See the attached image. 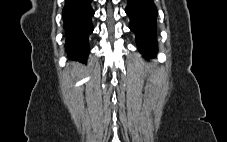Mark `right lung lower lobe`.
Returning <instances> with one entry per match:
<instances>
[{"instance_id": "98d812e1", "label": "right lung lower lobe", "mask_w": 227, "mask_h": 142, "mask_svg": "<svg viewBox=\"0 0 227 142\" xmlns=\"http://www.w3.org/2000/svg\"><path fill=\"white\" fill-rule=\"evenodd\" d=\"M91 0H66L62 12L66 31V50L70 57L85 60L89 53L88 36L93 31Z\"/></svg>"}]
</instances>
